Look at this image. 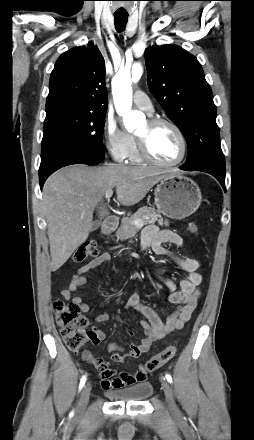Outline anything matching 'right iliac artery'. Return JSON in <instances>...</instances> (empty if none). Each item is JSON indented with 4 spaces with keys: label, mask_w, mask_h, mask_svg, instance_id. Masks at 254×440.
<instances>
[{
    "label": "right iliac artery",
    "mask_w": 254,
    "mask_h": 440,
    "mask_svg": "<svg viewBox=\"0 0 254 440\" xmlns=\"http://www.w3.org/2000/svg\"><path fill=\"white\" fill-rule=\"evenodd\" d=\"M85 381H86V376L84 375L80 380L79 391L83 388Z\"/></svg>",
    "instance_id": "82829eb1"
}]
</instances>
